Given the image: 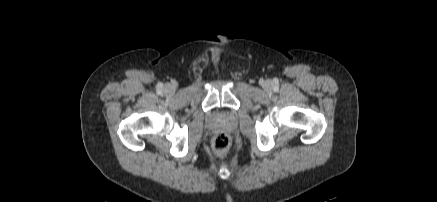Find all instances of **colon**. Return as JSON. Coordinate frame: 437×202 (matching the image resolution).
<instances>
[{"label": "colon", "instance_id": "obj_1", "mask_svg": "<svg viewBox=\"0 0 437 202\" xmlns=\"http://www.w3.org/2000/svg\"><path fill=\"white\" fill-rule=\"evenodd\" d=\"M230 148V138L225 133H217L213 139V150L219 156H225Z\"/></svg>", "mask_w": 437, "mask_h": 202}]
</instances>
